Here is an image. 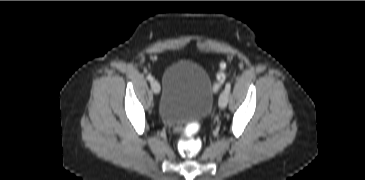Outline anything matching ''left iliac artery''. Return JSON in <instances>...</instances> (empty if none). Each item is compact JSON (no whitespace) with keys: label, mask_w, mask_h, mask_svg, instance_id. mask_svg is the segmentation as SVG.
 Masks as SVG:
<instances>
[{"label":"left iliac artery","mask_w":365,"mask_h":180,"mask_svg":"<svg viewBox=\"0 0 365 180\" xmlns=\"http://www.w3.org/2000/svg\"><path fill=\"white\" fill-rule=\"evenodd\" d=\"M231 89V83H227L225 86V90L229 93Z\"/></svg>","instance_id":"obj_1"}]
</instances>
